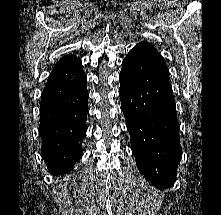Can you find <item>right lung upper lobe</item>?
I'll return each mask as SVG.
<instances>
[{"instance_id":"obj_1","label":"right lung upper lobe","mask_w":221,"mask_h":215,"mask_svg":"<svg viewBox=\"0 0 221 215\" xmlns=\"http://www.w3.org/2000/svg\"><path fill=\"white\" fill-rule=\"evenodd\" d=\"M75 59H77V57L74 56V55H71V54L66 55V56L62 57V58L58 61V63L54 66L53 69H56V68H58V67H60V66H62V65H64V64H66V63H68V62H70V61H72V60H75Z\"/></svg>"}]
</instances>
